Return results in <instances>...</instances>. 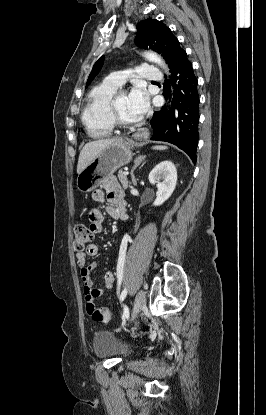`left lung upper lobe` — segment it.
<instances>
[{"label": "left lung upper lobe", "instance_id": "left-lung-upper-lobe-1", "mask_svg": "<svg viewBox=\"0 0 266 415\" xmlns=\"http://www.w3.org/2000/svg\"><path fill=\"white\" fill-rule=\"evenodd\" d=\"M136 28V44L144 49L150 48L162 54L172 71L180 57L185 53V50L180 47L179 41L172 34V31L162 22L151 18L139 22ZM103 62L104 56H101L93 66L86 87L101 70Z\"/></svg>", "mask_w": 266, "mask_h": 415}]
</instances>
